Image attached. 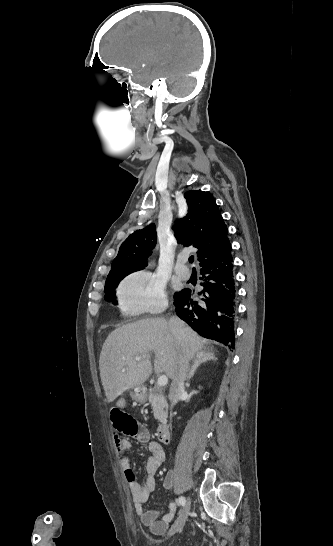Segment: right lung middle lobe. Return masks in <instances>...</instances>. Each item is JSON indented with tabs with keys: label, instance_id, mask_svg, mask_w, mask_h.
I'll use <instances>...</instances> for the list:
<instances>
[{
	"label": "right lung middle lobe",
	"instance_id": "obj_1",
	"mask_svg": "<svg viewBox=\"0 0 333 546\" xmlns=\"http://www.w3.org/2000/svg\"><path fill=\"white\" fill-rule=\"evenodd\" d=\"M134 271H137V270H125V271H114V272H110L108 274V277H107V280H106V283H105V289H104V292H105V300L107 301H114V298H115V288L117 287V285L119 284V282L127 275H129L130 273L134 272Z\"/></svg>",
	"mask_w": 333,
	"mask_h": 546
}]
</instances>
